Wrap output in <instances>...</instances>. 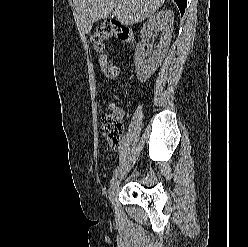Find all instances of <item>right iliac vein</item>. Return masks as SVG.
Masks as SVG:
<instances>
[{"instance_id":"1","label":"right iliac vein","mask_w":248,"mask_h":247,"mask_svg":"<svg viewBox=\"0 0 248 247\" xmlns=\"http://www.w3.org/2000/svg\"><path fill=\"white\" fill-rule=\"evenodd\" d=\"M121 179H122V174H119V175L115 178L114 182L111 184V187H110V190H109V195H108L109 201H110L111 203H113V201H114V198H115L116 193H117V191H118V188H119V184H120V180H121Z\"/></svg>"}]
</instances>
